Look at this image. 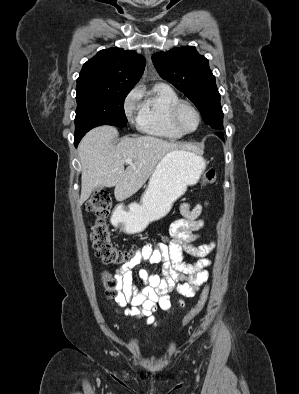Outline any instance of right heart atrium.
<instances>
[{
    "instance_id": "d8ad5b80",
    "label": "right heart atrium",
    "mask_w": 299,
    "mask_h": 394,
    "mask_svg": "<svg viewBox=\"0 0 299 394\" xmlns=\"http://www.w3.org/2000/svg\"><path fill=\"white\" fill-rule=\"evenodd\" d=\"M141 97H142V88L140 86H137L128 94L126 98L125 111L130 120L140 108L139 101Z\"/></svg>"
}]
</instances>
